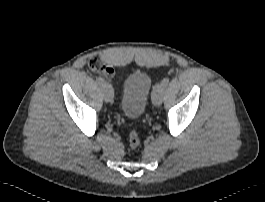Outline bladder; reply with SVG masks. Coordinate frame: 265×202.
<instances>
[{
  "label": "bladder",
  "mask_w": 265,
  "mask_h": 202,
  "mask_svg": "<svg viewBox=\"0 0 265 202\" xmlns=\"http://www.w3.org/2000/svg\"><path fill=\"white\" fill-rule=\"evenodd\" d=\"M150 77L145 72L130 74L121 89V111L128 119L143 115L150 94Z\"/></svg>",
  "instance_id": "bladder-1"
}]
</instances>
